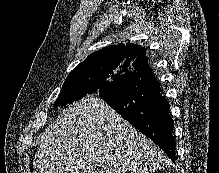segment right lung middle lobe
<instances>
[{"instance_id": "obj_1", "label": "right lung middle lobe", "mask_w": 219, "mask_h": 173, "mask_svg": "<svg viewBox=\"0 0 219 173\" xmlns=\"http://www.w3.org/2000/svg\"><path fill=\"white\" fill-rule=\"evenodd\" d=\"M132 71H134L133 67L116 61L97 66H85L78 72L71 71L54 106L67 105L81 99L87 93L99 92L103 94L111 92Z\"/></svg>"}]
</instances>
